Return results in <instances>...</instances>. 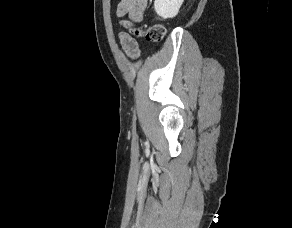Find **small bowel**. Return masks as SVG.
I'll return each mask as SVG.
<instances>
[{
	"label": "small bowel",
	"mask_w": 292,
	"mask_h": 228,
	"mask_svg": "<svg viewBox=\"0 0 292 228\" xmlns=\"http://www.w3.org/2000/svg\"><path fill=\"white\" fill-rule=\"evenodd\" d=\"M147 3L148 0H120L117 5L116 15L120 19L127 16L136 22H141ZM120 23L126 28L130 25L127 20H120ZM119 39L123 51L129 57L137 58L140 55L139 44L131 35L127 32H121Z\"/></svg>",
	"instance_id": "obj_1"
}]
</instances>
